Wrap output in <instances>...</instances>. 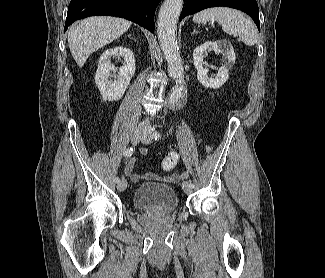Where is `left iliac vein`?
<instances>
[{
	"instance_id": "left-iliac-vein-1",
	"label": "left iliac vein",
	"mask_w": 325,
	"mask_h": 278,
	"mask_svg": "<svg viewBox=\"0 0 325 278\" xmlns=\"http://www.w3.org/2000/svg\"><path fill=\"white\" fill-rule=\"evenodd\" d=\"M141 142L145 144L152 143V135L149 130H145L144 135L141 138ZM182 189L187 194H190L192 192V187H190L189 183L186 181L182 183Z\"/></svg>"
}]
</instances>
